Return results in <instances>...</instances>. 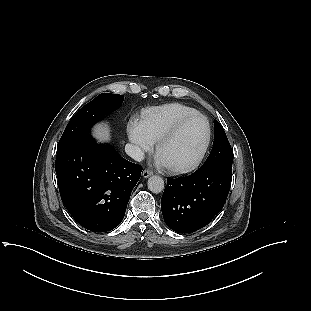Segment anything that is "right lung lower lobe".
Segmentation results:
<instances>
[{"label":"right lung lower lobe","instance_id":"1","mask_svg":"<svg viewBox=\"0 0 311 311\" xmlns=\"http://www.w3.org/2000/svg\"><path fill=\"white\" fill-rule=\"evenodd\" d=\"M142 167L122 158L110 145L81 137L57 151L56 173L61 199L84 228L106 232L125 215Z\"/></svg>","mask_w":311,"mask_h":311}]
</instances>
